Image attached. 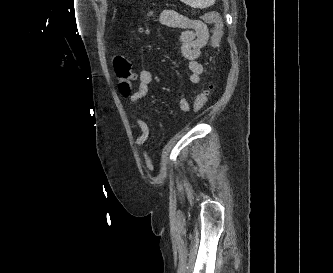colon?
Listing matches in <instances>:
<instances>
[{
	"instance_id": "1",
	"label": "colon",
	"mask_w": 333,
	"mask_h": 273,
	"mask_svg": "<svg viewBox=\"0 0 333 273\" xmlns=\"http://www.w3.org/2000/svg\"><path fill=\"white\" fill-rule=\"evenodd\" d=\"M152 19H154V12L150 11L147 15V21H150ZM203 20L207 23L214 25L210 44L213 47L218 46L221 42L224 31V24L221 17L219 16L218 13L210 11L204 14ZM138 31L145 32L147 30L145 27L140 26L138 28ZM113 65H114L119 92L123 97H129L131 94L132 84L135 78V75L132 71V64L128 58L123 56H118L114 59ZM211 90H212V85L209 83L199 91L192 104L193 111H199L204 107V105L208 101Z\"/></svg>"
}]
</instances>
